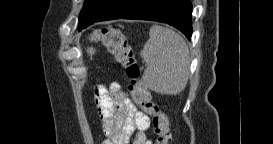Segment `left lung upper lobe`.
<instances>
[{
	"label": "left lung upper lobe",
	"mask_w": 273,
	"mask_h": 144,
	"mask_svg": "<svg viewBox=\"0 0 273 144\" xmlns=\"http://www.w3.org/2000/svg\"><path fill=\"white\" fill-rule=\"evenodd\" d=\"M93 0H86L84 3V7L83 8H90L92 7V2Z\"/></svg>",
	"instance_id": "1"
}]
</instances>
